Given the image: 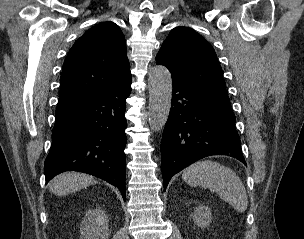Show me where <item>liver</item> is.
<instances>
[{"mask_svg": "<svg viewBox=\"0 0 304 239\" xmlns=\"http://www.w3.org/2000/svg\"><path fill=\"white\" fill-rule=\"evenodd\" d=\"M93 176L78 172H66L56 176L49 183L50 192L58 196L75 193L81 188L94 184Z\"/></svg>", "mask_w": 304, "mask_h": 239, "instance_id": "1", "label": "liver"}]
</instances>
